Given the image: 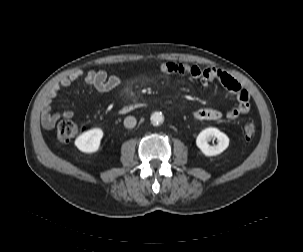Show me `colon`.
<instances>
[{
  "instance_id": "colon-1",
  "label": "colon",
  "mask_w": 303,
  "mask_h": 252,
  "mask_svg": "<svg viewBox=\"0 0 303 252\" xmlns=\"http://www.w3.org/2000/svg\"><path fill=\"white\" fill-rule=\"evenodd\" d=\"M257 131V126L254 122H247L243 126V134L245 138L251 139ZM80 132L79 126L71 121H62L57 128L58 136L64 141H71L77 137Z\"/></svg>"
}]
</instances>
